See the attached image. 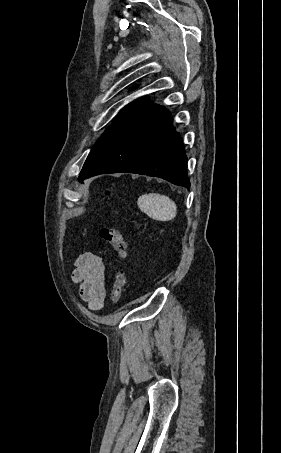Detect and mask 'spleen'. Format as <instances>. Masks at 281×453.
I'll use <instances>...</instances> for the list:
<instances>
[{"instance_id": "obj_1", "label": "spleen", "mask_w": 281, "mask_h": 453, "mask_svg": "<svg viewBox=\"0 0 281 453\" xmlns=\"http://www.w3.org/2000/svg\"><path fill=\"white\" fill-rule=\"evenodd\" d=\"M137 204L142 212H146L154 220H172L177 214L174 200L165 194H156V192L141 194Z\"/></svg>"}]
</instances>
